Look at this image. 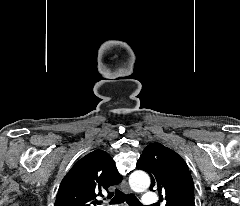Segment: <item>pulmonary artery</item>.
Segmentation results:
<instances>
[{
	"label": "pulmonary artery",
	"instance_id": "obj_1",
	"mask_svg": "<svg viewBox=\"0 0 240 206\" xmlns=\"http://www.w3.org/2000/svg\"><path fill=\"white\" fill-rule=\"evenodd\" d=\"M158 201V196L154 192H147L144 194L142 198V202L144 205H153Z\"/></svg>",
	"mask_w": 240,
	"mask_h": 206
}]
</instances>
